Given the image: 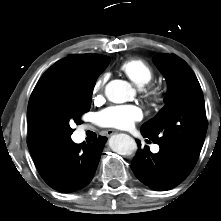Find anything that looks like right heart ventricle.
Segmentation results:
<instances>
[{"label":"right heart ventricle","mask_w":221,"mask_h":221,"mask_svg":"<svg viewBox=\"0 0 221 221\" xmlns=\"http://www.w3.org/2000/svg\"><path fill=\"white\" fill-rule=\"evenodd\" d=\"M121 70L138 87H144L154 78L152 66L143 59L135 58L125 61L121 65Z\"/></svg>","instance_id":"1"}]
</instances>
